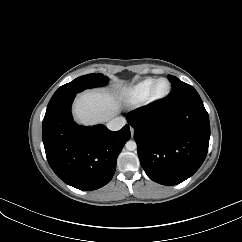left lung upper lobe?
Here are the masks:
<instances>
[{
  "label": "left lung upper lobe",
  "mask_w": 242,
  "mask_h": 242,
  "mask_svg": "<svg viewBox=\"0 0 242 242\" xmlns=\"http://www.w3.org/2000/svg\"><path fill=\"white\" fill-rule=\"evenodd\" d=\"M168 79L172 83V90L168 97L163 100H174L182 97L198 95L197 91L191 85L182 82L178 78L168 75Z\"/></svg>",
  "instance_id": "5c2ea615"
}]
</instances>
